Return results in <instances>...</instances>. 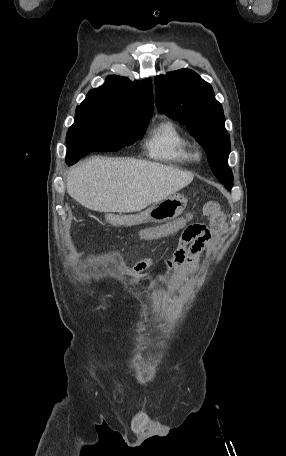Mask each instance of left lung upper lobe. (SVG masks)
<instances>
[{
  "mask_svg": "<svg viewBox=\"0 0 286 456\" xmlns=\"http://www.w3.org/2000/svg\"><path fill=\"white\" fill-rule=\"evenodd\" d=\"M155 89L158 111L187 126L207 153L214 175L231 190L230 137L222 105L215 99L212 86L194 71L180 69L156 76Z\"/></svg>",
  "mask_w": 286,
  "mask_h": 456,
  "instance_id": "1",
  "label": "left lung upper lobe"
}]
</instances>
